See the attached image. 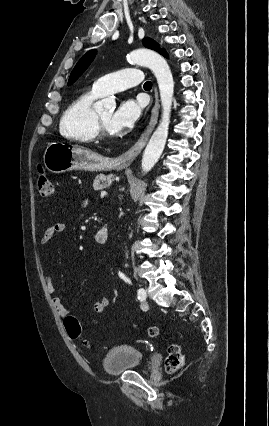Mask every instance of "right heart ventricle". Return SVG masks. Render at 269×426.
<instances>
[{
  "label": "right heart ventricle",
  "instance_id": "obj_1",
  "mask_svg": "<svg viewBox=\"0 0 269 426\" xmlns=\"http://www.w3.org/2000/svg\"><path fill=\"white\" fill-rule=\"evenodd\" d=\"M98 97L93 90H88L69 104L60 120L63 136L78 142H91L98 137L94 110Z\"/></svg>",
  "mask_w": 269,
  "mask_h": 426
}]
</instances>
